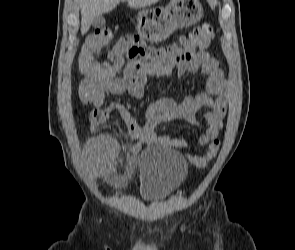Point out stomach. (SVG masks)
Wrapping results in <instances>:
<instances>
[{
	"label": "stomach",
	"instance_id": "stomach-1",
	"mask_svg": "<svg viewBox=\"0 0 295 250\" xmlns=\"http://www.w3.org/2000/svg\"><path fill=\"white\" fill-rule=\"evenodd\" d=\"M203 16L199 0H170L165 7H154L139 11L137 30L143 40L152 45L169 37L176 29L196 24Z\"/></svg>",
	"mask_w": 295,
	"mask_h": 250
}]
</instances>
